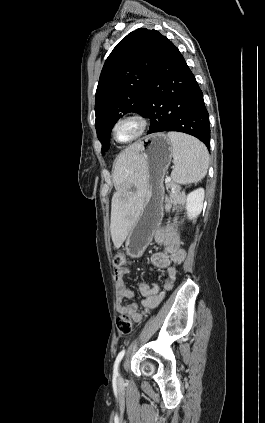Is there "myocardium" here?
I'll list each match as a JSON object with an SVG mask.
<instances>
[{"label": "myocardium", "mask_w": 265, "mask_h": 423, "mask_svg": "<svg viewBox=\"0 0 265 423\" xmlns=\"http://www.w3.org/2000/svg\"><path fill=\"white\" fill-rule=\"evenodd\" d=\"M126 123H133L136 125V131L134 135L127 139V140H120L117 135L118 128ZM149 126L148 120L141 114L136 112H129L122 116H120L118 119L115 120V122L112 125L111 132L113 139L119 143V144H130L139 138H141L147 131Z\"/></svg>", "instance_id": "myocardium-1"}]
</instances>
